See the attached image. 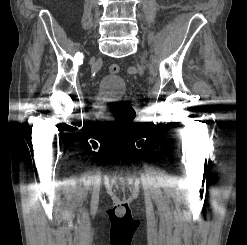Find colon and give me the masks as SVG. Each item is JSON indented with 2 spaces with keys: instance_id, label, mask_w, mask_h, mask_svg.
Here are the masks:
<instances>
[{
  "instance_id": "obj_1",
  "label": "colon",
  "mask_w": 247,
  "mask_h": 245,
  "mask_svg": "<svg viewBox=\"0 0 247 245\" xmlns=\"http://www.w3.org/2000/svg\"><path fill=\"white\" fill-rule=\"evenodd\" d=\"M120 67L113 63L109 66L111 74H118ZM134 117V111L127 105H118L113 109V122L121 129H127Z\"/></svg>"
}]
</instances>
